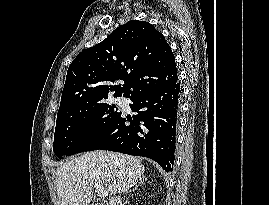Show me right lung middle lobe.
Wrapping results in <instances>:
<instances>
[{"instance_id":"obj_1","label":"right lung middle lobe","mask_w":269,"mask_h":205,"mask_svg":"<svg viewBox=\"0 0 269 205\" xmlns=\"http://www.w3.org/2000/svg\"><path fill=\"white\" fill-rule=\"evenodd\" d=\"M121 114L114 105L101 102L57 118L54 153L60 158L85 151Z\"/></svg>"}]
</instances>
